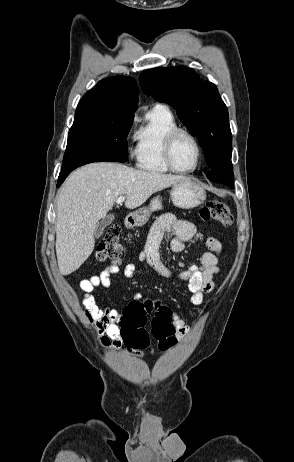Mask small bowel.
<instances>
[{"instance_id":"obj_1","label":"small bowel","mask_w":294,"mask_h":462,"mask_svg":"<svg viewBox=\"0 0 294 462\" xmlns=\"http://www.w3.org/2000/svg\"><path fill=\"white\" fill-rule=\"evenodd\" d=\"M165 233L172 235L170 249L175 253L182 252L186 243L191 239L203 238V236L197 232L196 226L192 222L178 219L170 213L159 217L153 225L146 247L140 253L138 259L140 262L147 263L158 275L170 278L172 277V272L163 264L161 259V244ZM205 243L207 251L202 254L200 262L188 266L178 274V278L187 284L191 294L190 300L194 305H201L204 294L213 290V279L219 270L218 256L222 251L221 243L213 237H205ZM119 271L117 265H110L99 274L82 280L80 288L84 293L83 305L87 318L94 325L99 335V342L102 346L110 350H120L126 346V352L130 355H135L134 349L127 346L122 337L119 326L121 313L113 307L102 308L94 295L97 288H108L111 285V277L118 274ZM123 273L125 277H134L136 273L135 264H128ZM171 318L176 336L179 339L184 338L190 332L191 327L176 312L172 314Z\"/></svg>"}]
</instances>
